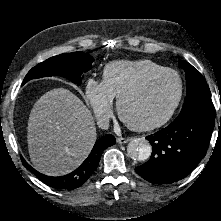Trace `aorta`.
<instances>
[{
    "label": "aorta",
    "mask_w": 221,
    "mask_h": 221,
    "mask_svg": "<svg viewBox=\"0 0 221 221\" xmlns=\"http://www.w3.org/2000/svg\"><path fill=\"white\" fill-rule=\"evenodd\" d=\"M127 153L133 160L145 161L151 156L152 147L144 138L133 139L128 143Z\"/></svg>",
    "instance_id": "obj_1"
}]
</instances>
